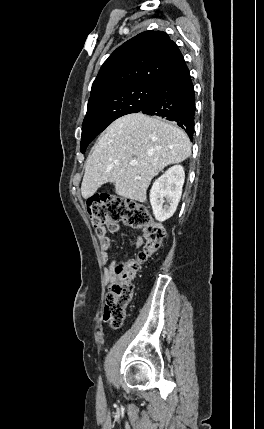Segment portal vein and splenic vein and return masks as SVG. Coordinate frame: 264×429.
Returning a JSON list of instances; mask_svg holds the SVG:
<instances>
[{
  "label": "portal vein and splenic vein",
  "mask_w": 264,
  "mask_h": 429,
  "mask_svg": "<svg viewBox=\"0 0 264 429\" xmlns=\"http://www.w3.org/2000/svg\"><path fill=\"white\" fill-rule=\"evenodd\" d=\"M130 165H131V166H136V165H137V161H136V160L131 161V162H130Z\"/></svg>",
  "instance_id": "obj_1"
}]
</instances>
